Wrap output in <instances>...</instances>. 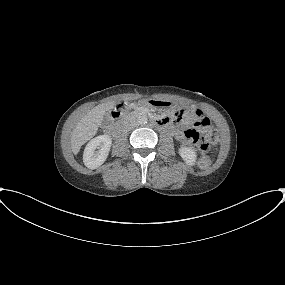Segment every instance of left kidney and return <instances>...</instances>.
I'll list each match as a JSON object with an SVG mask.
<instances>
[{"instance_id":"obj_1","label":"left kidney","mask_w":285,"mask_h":285,"mask_svg":"<svg viewBox=\"0 0 285 285\" xmlns=\"http://www.w3.org/2000/svg\"><path fill=\"white\" fill-rule=\"evenodd\" d=\"M179 154L188 165H195L197 154L192 148L182 147L179 149Z\"/></svg>"}]
</instances>
